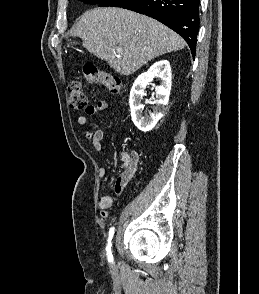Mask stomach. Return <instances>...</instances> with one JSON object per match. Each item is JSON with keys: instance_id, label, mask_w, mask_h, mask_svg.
I'll return each instance as SVG.
<instances>
[{"instance_id": "obj_1", "label": "stomach", "mask_w": 259, "mask_h": 294, "mask_svg": "<svg viewBox=\"0 0 259 294\" xmlns=\"http://www.w3.org/2000/svg\"><path fill=\"white\" fill-rule=\"evenodd\" d=\"M75 43L72 42L71 40L69 41L68 45L73 46Z\"/></svg>"}]
</instances>
